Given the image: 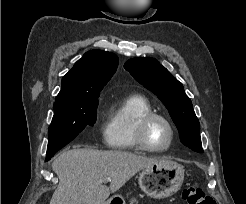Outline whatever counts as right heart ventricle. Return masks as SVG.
<instances>
[{
	"mask_svg": "<svg viewBox=\"0 0 246 204\" xmlns=\"http://www.w3.org/2000/svg\"><path fill=\"white\" fill-rule=\"evenodd\" d=\"M153 112L150 101L139 94L129 95L115 103L109 110L104 127V141L114 150L141 149L136 141V129L146 114Z\"/></svg>",
	"mask_w": 246,
	"mask_h": 204,
	"instance_id": "e07e8e85",
	"label": "right heart ventricle"
}]
</instances>
